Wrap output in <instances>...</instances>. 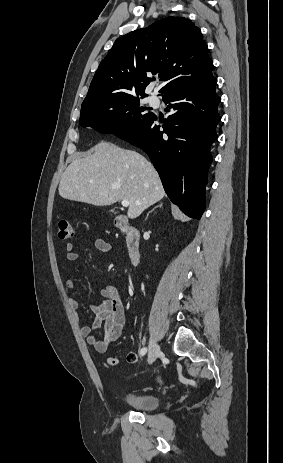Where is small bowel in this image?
<instances>
[{
	"label": "small bowel",
	"instance_id": "c3829d8e",
	"mask_svg": "<svg viewBox=\"0 0 283 463\" xmlns=\"http://www.w3.org/2000/svg\"><path fill=\"white\" fill-rule=\"evenodd\" d=\"M94 246L103 253H109L112 250L111 245L102 238L94 239ZM66 258L69 263H75L78 260V254L74 250L73 244L66 245ZM66 288L71 291L75 288V280L69 278L66 280ZM103 301L99 304L89 305V310L94 314V318L90 324H81V333L85 337L86 342L92 346L99 354H106L109 348L120 337L124 324L125 312L122 304L120 292L116 287L107 286L101 291ZM71 309L77 314L79 310V301L76 297H69ZM101 325H104V337L98 339L95 335V330ZM137 356L136 352H130ZM137 362V361H136ZM120 359L117 356L107 358L109 366H117ZM135 363V362H129Z\"/></svg>",
	"mask_w": 283,
	"mask_h": 463
}]
</instances>
